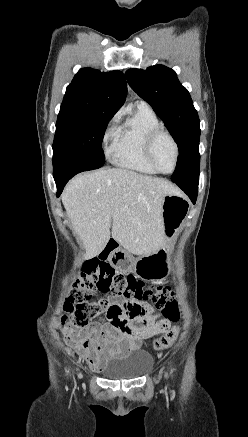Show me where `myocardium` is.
Listing matches in <instances>:
<instances>
[{"mask_svg":"<svg viewBox=\"0 0 248 437\" xmlns=\"http://www.w3.org/2000/svg\"><path fill=\"white\" fill-rule=\"evenodd\" d=\"M161 136H166L167 138H169L173 144V147H174V152H175L174 165H173L172 170L169 172L162 171L158 167V165L155 161V158H154V147H155L157 140ZM144 152H145V157H146L148 163L157 173L168 175V174L173 173L176 170L178 162H179V157H180L179 145H178L175 137L169 131L165 130L164 128L159 127V128L154 129L152 132H150V134L147 136V139L145 141Z\"/></svg>","mask_w":248,"mask_h":437,"instance_id":"obj_1","label":"myocardium"}]
</instances>
